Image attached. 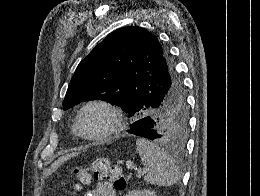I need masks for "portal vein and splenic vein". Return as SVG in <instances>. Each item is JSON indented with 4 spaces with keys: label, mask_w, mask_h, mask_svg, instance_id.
Segmentation results:
<instances>
[{
    "label": "portal vein and splenic vein",
    "mask_w": 260,
    "mask_h": 196,
    "mask_svg": "<svg viewBox=\"0 0 260 196\" xmlns=\"http://www.w3.org/2000/svg\"><path fill=\"white\" fill-rule=\"evenodd\" d=\"M126 166H127L128 170H132V168H134V170H137L138 176H142V174H146V172H147V170H141V168H136V166H134L133 162H126Z\"/></svg>",
    "instance_id": "portal-vein-and-splenic-vein-1"
}]
</instances>
